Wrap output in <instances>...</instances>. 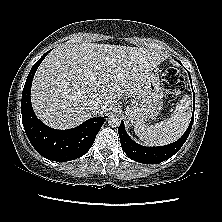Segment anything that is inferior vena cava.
I'll use <instances>...</instances> for the list:
<instances>
[{"instance_id":"inferior-vena-cava-1","label":"inferior vena cava","mask_w":222,"mask_h":222,"mask_svg":"<svg viewBox=\"0 0 222 222\" xmlns=\"http://www.w3.org/2000/svg\"><path fill=\"white\" fill-rule=\"evenodd\" d=\"M87 106H88L89 109H90L92 112H94V113H97V112L100 110V108H101V104L98 103V102H89V103L87 104Z\"/></svg>"}]
</instances>
